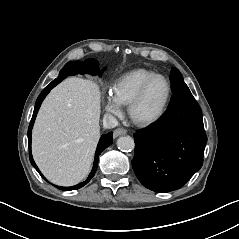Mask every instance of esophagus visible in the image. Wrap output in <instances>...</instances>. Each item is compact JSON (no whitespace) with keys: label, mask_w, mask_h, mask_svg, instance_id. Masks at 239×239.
I'll use <instances>...</instances> for the list:
<instances>
[{"label":"esophagus","mask_w":239,"mask_h":239,"mask_svg":"<svg viewBox=\"0 0 239 239\" xmlns=\"http://www.w3.org/2000/svg\"><path fill=\"white\" fill-rule=\"evenodd\" d=\"M126 130L124 128H117L116 130H114L113 132V137L116 138L120 135H125L126 134Z\"/></svg>","instance_id":"obj_1"}]
</instances>
